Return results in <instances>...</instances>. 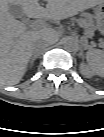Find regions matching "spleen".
<instances>
[{
	"instance_id": "3e777b00",
	"label": "spleen",
	"mask_w": 104,
	"mask_h": 137,
	"mask_svg": "<svg viewBox=\"0 0 104 137\" xmlns=\"http://www.w3.org/2000/svg\"><path fill=\"white\" fill-rule=\"evenodd\" d=\"M86 60L89 67L96 73H103V52L93 49L86 53Z\"/></svg>"
}]
</instances>
